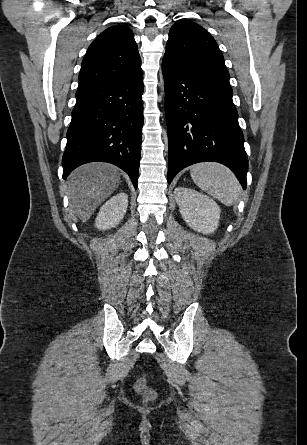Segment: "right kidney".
<instances>
[{
	"label": "right kidney",
	"mask_w": 307,
	"mask_h": 445,
	"mask_svg": "<svg viewBox=\"0 0 307 445\" xmlns=\"http://www.w3.org/2000/svg\"><path fill=\"white\" fill-rule=\"evenodd\" d=\"M128 206V194L126 192H118L115 196H112L110 200H107L103 206H101L97 218L95 220L96 229L100 231H107L119 225L122 220Z\"/></svg>",
	"instance_id": "right-kidney-1"
}]
</instances>
